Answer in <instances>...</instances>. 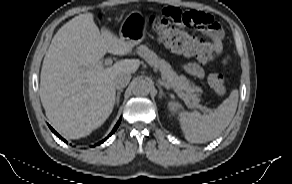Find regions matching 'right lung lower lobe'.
<instances>
[{"mask_svg":"<svg viewBox=\"0 0 292 184\" xmlns=\"http://www.w3.org/2000/svg\"><path fill=\"white\" fill-rule=\"evenodd\" d=\"M120 122H121V119H119V121L117 122V124L115 125V127H114V129L112 130V132L110 133V135L109 136H111L115 131H116V129L118 128V126L120 125ZM50 127V126H49ZM50 129L53 131V133L55 134V135H57V137H59L61 140H63L64 142H66L52 127H50ZM108 136V137H109ZM107 137V138H108ZM106 138V139H107ZM106 139H104L103 141H101L100 143H103ZM100 143H98V145L100 144Z\"/></svg>","mask_w":292,"mask_h":184,"instance_id":"right-lung-lower-lobe-1","label":"right lung lower lobe"}]
</instances>
